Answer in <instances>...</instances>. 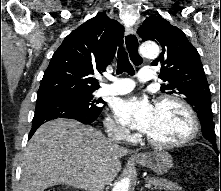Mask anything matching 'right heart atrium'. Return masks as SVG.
I'll use <instances>...</instances> for the list:
<instances>
[{
    "label": "right heart atrium",
    "mask_w": 221,
    "mask_h": 191,
    "mask_svg": "<svg viewBox=\"0 0 221 191\" xmlns=\"http://www.w3.org/2000/svg\"><path fill=\"white\" fill-rule=\"evenodd\" d=\"M105 126L107 132L119 140L131 141L134 138L130 131L113 116L106 117Z\"/></svg>",
    "instance_id": "obj_1"
}]
</instances>
